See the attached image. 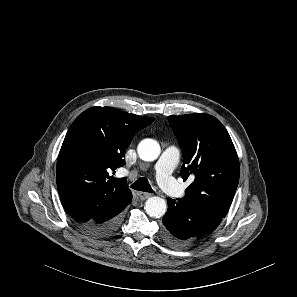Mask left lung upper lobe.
I'll use <instances>...</instances> for the list:
<instances>
[{
    "label": "left lung upper lobe",
    "instance_id": "5c2ea615",
    "mask_svg": "<svg viewBox=\"0 0 297 297\" xmlns=\"http://www.w3.org/2000/svg\"><path fill=\"white\" fill-rule=\"evenodd\" d=\"M183 151L181 177L193 179L181 201L192 210L194 234H208L227 214L239 182V160L233 142L215 117L194 113L168 116Z\"/></svg>",
    "mask_w": 297,
    "mask_h": 297
}]
</instances>
